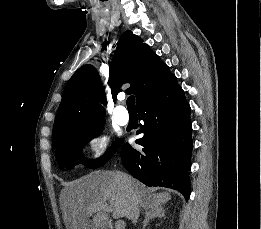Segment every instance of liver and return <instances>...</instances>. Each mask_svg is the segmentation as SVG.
<instances>
[{
    "mask_svg": "<svg viewBox=\"0 0 261 229\" xmlns=\"http://www.w3.org/2000/svg\"><path fill=\"white\" fill-rule=\"evenodd\" d=\"M128 177V175H127ZM131 179L140 209L151 205H165L170 201V193L149 195L144 185ZM106 201H109L107 205ZM131 199L127 193L123 177L114 171H94L86 177L69 183L68 197L64 201V217L67 229H106L108 213L113 219H130ZM94 215L92 221L89 217Z\"/></svg>",
    "mask_w": 261,
    "mask_h": 229,
    "instance_id": "6515ba94",
    "label": "liver"
}]
</instances>
